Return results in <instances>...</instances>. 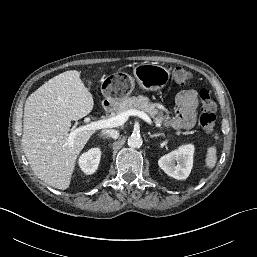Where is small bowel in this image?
<instances>
[{
  "instance_id": "1",
  "label": "small bowel",
  "mask_w": 257,
  "mask_h": 257,
  "mask_svg": "<svg viewBox=\"0 0 257 257\" xmlns=\"http://www.w3.org/2000/svg\"><path fill=\"white\" fill-rule=\"evenodd\" d=\"M178 110L173 118L165 123L173 128L189 129L194 126L198 112V97L194 90H182L176 96Z\"/></svg>"
}]
</instances>
